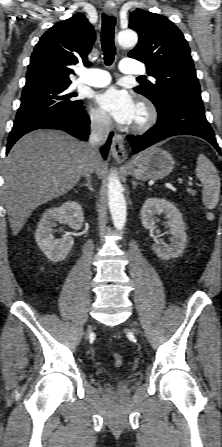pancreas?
I'll use <instances>...</instances> for the list:
<instances>
[{
    "label": "pancreas",
    "mask_w": 222,
    "mask_h": 447,
    "mask_svg": "<svg viewBox=\"0 0 222 447\" xmlns=\"http://www.w3.org/2000/svg\"><path fill=\"white\" fill-rule=\"evenodd\" d=\"M187 192L189 193V194H191V195H195L196 194V191L195 190H193V189H187Z\"/></svg>",
    "instance_id": "cf45deb5"
}]
</instances>
